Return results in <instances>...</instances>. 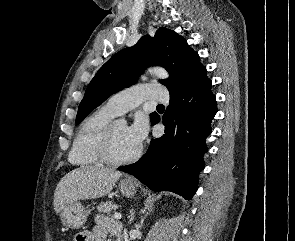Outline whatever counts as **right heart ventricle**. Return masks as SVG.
<instances>
[{
	"mask_svg": "<svg viewBox=\"0 0 295 241\" xmlns=\"http://www.w3.org/2000/svg\"><path fill=\"white\" fill-rule=\"evenodd\" d=\"M115 116V112L103 106L82 122L69 152L68 159L72 165L93 167L102 163L98 155V144Z\"/></svg>",
	"mask_w": 295,
	"mask_h": 241,
	"instance_id": "1",
	"label": "right heart ventricle"
}]
</instances>
